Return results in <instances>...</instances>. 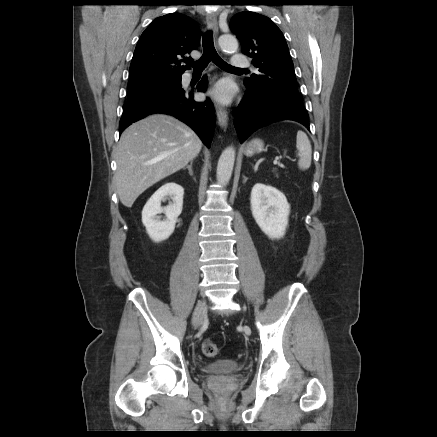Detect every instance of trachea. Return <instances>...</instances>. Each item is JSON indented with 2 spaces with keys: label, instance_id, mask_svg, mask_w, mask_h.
Returning a JSON list of instances; mask_svg holds the SVG:
<instances>
[{
  "label": "trachea",
  "instance_id": "trachea-1",
  "mask_svg": "<svg viewBox=\"0 0 437 437\" xmlns=\"http://www.w3.org/2000/svg\"><path fill=\"white\" fill-rule=\"evenodd\" d=\"M210 61L225 70L245 71L244 69L235 68L229 65L217 54L213 43L212 33L207 32L203 38V54L199 60L192 62L191 66L194 71H203Z\"/></svg>",
  "mask_w": 437,
  "mask_h": 437
}]
</instances>
